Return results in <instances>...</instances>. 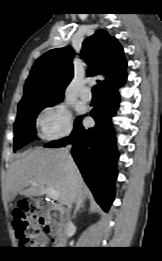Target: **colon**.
I'll return each instance as SVG.
<instances>
[{"label": "colon", "mask_w": 162, "mask_h": 261, "mask_svg": "<svg viewBox=\"0 0 162 261\" xmlns=\"http://www.w3.org/2000/svg\"><path fill=\"white\" fill-rule=\"evenodd\" d=\"M49 214V205L44 201L27 200L13 212V227L20 246L34 248L46 243L41 227Z\"/></svg>", "instance_id": "5ec220e1"}]
</instances>
